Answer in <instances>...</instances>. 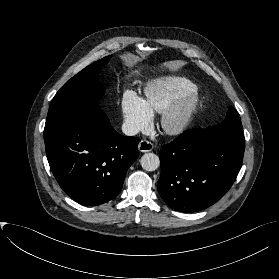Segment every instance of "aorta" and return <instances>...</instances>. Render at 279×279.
Segmentation results:
<instances>
[{"label": "aorta", "mask_w": 279, "mask_h": 279, "mask_svg": "<svg viewBox=\"0 0 279 279\" xmlns=\"http://www.w3.org/2000/svg\"><path fill=\"white\" fill-rule=\"evenodd\" d=\"M140 164L146 171H155L160 165V160L154 153H145L141 157Z\"/></svg>", "instance_id": "1"}]
</instances>
